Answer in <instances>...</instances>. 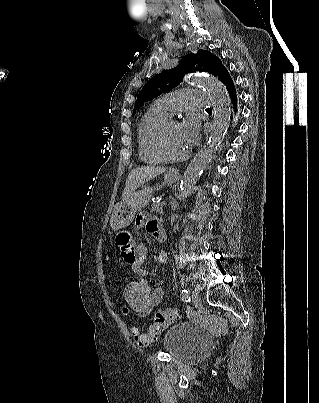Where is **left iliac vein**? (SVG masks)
Wrapping results in <instances>:
<instances>
[{"label": "left iliac vein", "mask_w": 319, "mask_h": 403, "mask_svg": "<svg viewBox=\"0 0 319 403\" xmlns=\"http://www.w3.org/2000/svg\"><path fill=\"white\" fill-rule=\"evenodd\" d=\"M191 300H192V303L196 306V307H199L200 305H201V296H200V294L198 293V291H193L192 292V294H191Z\"/></svg>", "instance_id": "left-iliac-vein-1"}]
</instances>
